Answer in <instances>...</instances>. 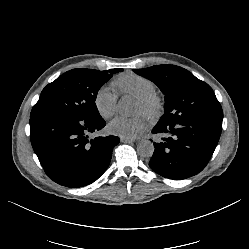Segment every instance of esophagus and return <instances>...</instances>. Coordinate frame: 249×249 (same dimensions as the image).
Returning <instances> with one entry per match:
<instances>
[{
	"instance_id": "1",
	"label": "esophagus",
	"mask_w": 249,
	"mask_h": 249,
	"mask_svg": "<svg viewBox=\"0 0 249 249\" xmlns=\"http://www.w3.org/2000/svg\"><path fill=\"white\" fill-rule=\"evenodd\" d=\"M120 140H121L122 143H126V144H127V143H132V142H134L133 139H131V138H126V137H121Z\"/></svg>"
}]
</instances>
